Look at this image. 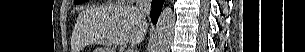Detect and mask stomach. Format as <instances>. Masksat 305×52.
Here are the masks:
<instances>
[{"mask_svg": "<svg viewBox=\"0 0 305 52\" xmlns=\"http://www.w3.org/2000/svg\"><path fill=\"white\" fill-rule=\"evenodd\" d=\"M94 52H113V51H110L109 49H105V48H97L95 49Z\"/></svg>", "mask_w": 305, "mask_h": 52, "instance_id": "stomach-1", "label": "stomach"}]
</instances>
